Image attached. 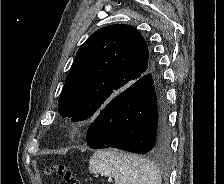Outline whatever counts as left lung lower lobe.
Returning a JSON list of instances; mask_svg holds the SVG:
<instances>
[{"mask_svg": "<svg viewBox=\"0 0 224 184\" xmlns=\"http://www.w3.org/2000/svg\"><path fill=\"white\" fill-rule=\"evenodd\" d=\"M166 106L157 77L147 73L112 98L91 124L87 144L138 154H162L170 142Z\"/></svg>", "mask_w": 224, "mask_h": 184, "instance_id": "1", "label": "left lung lower lobe"}]
</instances>
